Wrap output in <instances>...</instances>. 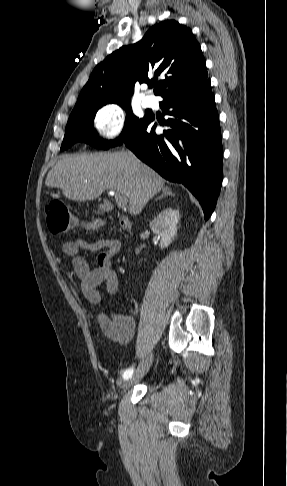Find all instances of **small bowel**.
I'll list each match as a JSON object with an SVG mask.
<instances>
[{
    "label": "small bowel",
    "instance_id": "1",
    "mask_svg": "<svg viewBox=\"0 0 287 486\" xmlns=\"http://www.w3.org/2000/svg\"><path fill=\"white\" fill-rule=\"evenodd\" d=\"M82 250L99 252L96 268H90L85 257L80 254ZM120 250L121 243L117 239H98L90 242L82 238H73L62 244V252L71 257L74 273L81 280L82 293L89 302L95 305L102 303L99 290L102 284L110 294L118 291L119 281L112 267V259ZM99 324L104 334L119 344L129 343L135 333V321L128 314H117L104 309L99 314Z\"/></svg>",
    "mask_w": 287,
    "mask_h": 486
}]
</instances>
